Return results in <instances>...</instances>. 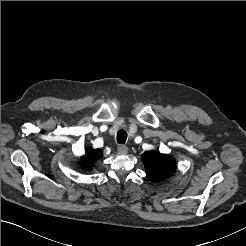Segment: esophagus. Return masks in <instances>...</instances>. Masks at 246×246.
Instances as JSON below:
<instances>
[{
  "instance_id": "obj_1",
  "label": "esophagus",
  "mask_w": 246,
  "mask_h": 246,
  "mask_svg": "<svg viewBox=\"0 0 246 246\" xmlns=\"http://www.w3.org/2000/svg\"><path fill=\"white\" fill-rule=\"evenodd\" d=\"M117 150L120 154H127L128 153V147L125 145H118Z\"/></svg>"
}]
</instances>
